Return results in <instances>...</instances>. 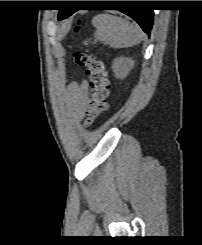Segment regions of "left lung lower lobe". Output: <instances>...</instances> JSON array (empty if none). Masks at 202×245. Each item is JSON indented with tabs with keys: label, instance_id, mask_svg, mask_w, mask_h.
Returning <instances> with one entry per match:
<instances>
[{
	"label": "left lung lower lobe",
	"instance_id": "left-lung-lower-lobe-1",
	"mask_svg": "<svg viewBox=\"0 0 202 245\" xmlns=\"http://www.w3.org/2000/svg\"><path fill=\"white\" fill-rule=\"evenodd\" d=\"M127 4L133 7L123 9V10L120 9L119 11L133 18L140 25L143 31L149 35L153 25V10L140 8L142 1H128ZM75 11L77 10H68V9L60 10L59 20L67 18Z\"/></svg>",
	"mask_w": 202,
	"mask_h": 245
}]
</instances>
